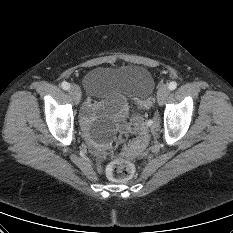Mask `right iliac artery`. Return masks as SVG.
Segmentation results:
<instances>
[{
  "label": "right iliac artery",
  "instance_id": "right-iliac-artery-1",
  "mask_svg": "<svg viewBox=\"0 0 233 233\" xmlns=\"http://www.w3.org/2000/svg\"><path fill=\"white\" fill-rule=\"evenodd\" d=\"M61 87L64 90H68L70 88V84L68 82L64 81V82L61 83Z\"/></svg>",
  "mask_w": 233,
  "mask_h": 233
}]
</instances>
